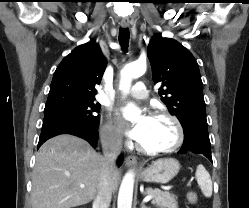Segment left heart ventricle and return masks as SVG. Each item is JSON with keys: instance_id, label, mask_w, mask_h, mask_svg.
I'll return each instance as SVG.
<instances>
[{"instance_id": "1", "label": "left heart ventricle", "mask_w": 249, "mask_h": 208, "mask_svg": "<svg viewBox=\"0 0 249 208\" xmlns=\"http://www.w3.org/2000/svg\"><path fill=\"white\" fill-rule=\"evenodd\" d=\"M177 139L173 122L165 117H149L144 137L139 144L146 148H166Z\"/></svg>"}]
</instances>
